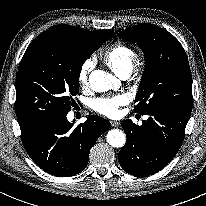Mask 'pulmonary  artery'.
Wrapping results in <instances>:
<instances>
[{
    "label": "pulmonary artery",
    "instance_id": "1",
    "mask_svg": "<svg viewBox=\"0 0 206 206\" xmlns=\"http://www.w3.org/2000/svg\"><path fill=\"white\" fill-rule=\"evenodd\" d=\"M131 70H125L121 73L120 77L126 79L130 76Z\"/></svg>",
    "mask_w": 206,
    "mask_h": 206
}]
</instances>
